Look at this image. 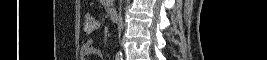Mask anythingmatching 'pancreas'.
<instances>
[{"mask_svg": "<svg viewBox=\"0 0 267 60\" xmlns=\"http://www.w3.org/2000/svg\"><path fill=\"white\" fill-rule=\"evenodd\" d=\"M102 2H104L105 6L109 9V7L111 6L112 4V1L110 0H102Z\"/></svg>", "mask_w": 267, "mask_h": 60, "instance_id": "cf45deb5", "label": "pancreas"}]
</instances>
